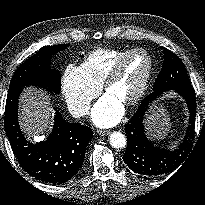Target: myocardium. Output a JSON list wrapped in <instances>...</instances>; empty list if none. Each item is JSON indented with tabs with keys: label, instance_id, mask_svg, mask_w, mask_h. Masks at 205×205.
I'll return each instance as SVG.
<instances>
[{
	"label": "myocardium",
	"instance_id": "1",
	"mask_svg": "<svg viewBox=\"0 0 205 205\" xmlns=\"http://www.w3.org/2000/svg\"><path fill=\"white\" fill-rule=\"evenodd\" d=\"M137 53L145 54L148 58L149 64H148L147 71L143 77V80L138 90L136 91V93L130 99L123 102V104L128 107L137 104L143 98V96L145 95L148 89V86H149V83H150V80L153 74V70H154V59L147 50L143 48H135V49L128 51L115 63V65L113 66L109 74L106 76V78L102 82V90L105 93H107L110 86L121 76L123 68L126 62L128 61V59H130L133 55Z\"/></svg>",
	"mask_w": 205,
	"mask_h": 205
}]
</instances>
